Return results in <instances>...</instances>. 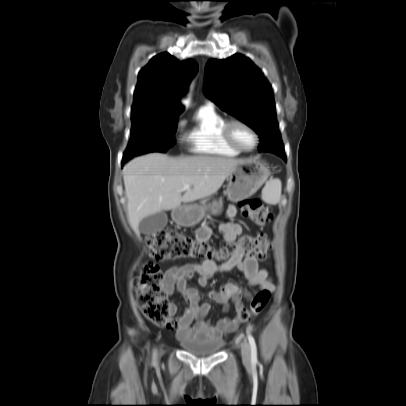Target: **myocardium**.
<instances>
[{
    "label": "myocardium",
    "instance_id": "f54148a6",
    "mask_svg": "<svg viewBox=\"0 0 406 406\" xmlns=\"http://www.w3.org/2000/svg\"><path fill=\"white\" fill-rule=\"evenodd\" d=\"M235 125H241V126L247 128L252 133L255 141H254V145L251 148H244L235 141V139L233 138V135H232V128ZM223 137L230 146H232L233 148H235L236 150H238L240 152H250V151L254 150L259 143V136H258V133L256 132V130L249 123H247L246 121H243L241 119H231V120L226 121L224 128H223Z\"/></svg>",
    "mask_w": 406,
    "mask_h": 406
}]
</instances>
